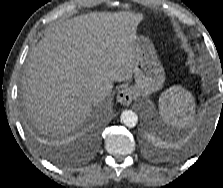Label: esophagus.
<instances>
[{
    "label": "esophagus",
    "instance_id": "obj_1",
    "mask_svg": "<svg viewBox=\"0 0 223 188\" xmlns=\"http://www.w3.org/2000/svg\"><path fill=\"white\" fill-rule=\"evenodd\" d=\"M133 94L130 88H123L117 94V101L122 105L128 106L131 104Z\"/></svg>",
    "mask_w": 223,
    "mask_h": 188
}]
</instances>
